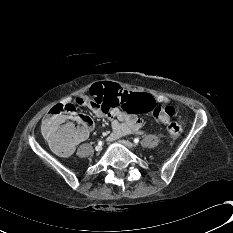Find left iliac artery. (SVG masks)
I'll list each match as a JSON object with an SVG mask.
<instances>
[{
	"mask_svg": "<svg viewBox=\"0 0 233 233\" xmlns=\"http://www.w3.org/2000/svg\"><path fill=\"white\" fill-rule=\"evenodd\" d=\"M133 141H134L135 144H138L139 143V138H135Z\"/></svg>",
	"mask_w": 233,
	"mask_h": 233,
	"instance_id": "44dca946",
	"label": "left iliac artery"
}]
</instances>
